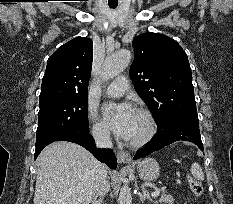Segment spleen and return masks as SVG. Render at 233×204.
I'll return each mask as SVG.
<instances>
[{
  "label": "spleen",
  "mask_w": 233,
  "mask_h": 204,
  "mask_svg": "<svg viewBox=\"0 0 233 204\" xmlns=\"http://www.w3.org/2000/svg\"><path fill=\"white\" fill-rule=\"evenodd\" d=\"M191 174L199 181L204 180V173L201 166L198 163H193L191 166Z\"/></svg>",
  "instance_id": "1"
}]
</instances>
